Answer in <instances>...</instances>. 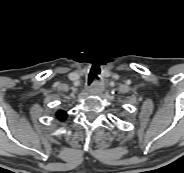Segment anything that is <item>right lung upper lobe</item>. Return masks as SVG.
I'll use <instances>...</instances> for the list:
<instances>
[{"mask_svg": "<svg viewBox=\"0 0 184 173\" xmlns=\"http://www.w3.org/2000/svg\"><path fill=\"white\" fill-rule=\"evenodd\" d=\"M56 116H57V118H58L59 120L62 121V120H65V119H66L67 114H66L65 111L59 110V111L56 113Z\"/></svg>", "mask_w": 184, "mask_h": 173, "instance_id": "right-lung-upper-lobe-1", "label": "right lung upper lobe"}]
</instances>
